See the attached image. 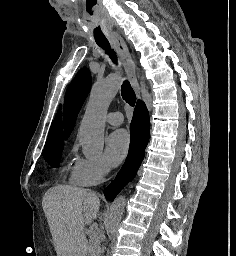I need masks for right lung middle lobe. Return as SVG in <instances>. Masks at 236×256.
<instances>
[{
  "label": "right lung middle lobe",
  "mask_w": 236,
  "mask_h": 256,
  "mask_svg": "<svg viewBox=\"0 0 236 256\" xmlns=\"http://www.w3.org/2000/svg\"><path fill=\"white\" fill-rule=\"evenodd\" d=\"M63 147H64V140L55 141V142H46L44 151H43V156L46 162L50 166L56 167L59 164Z\"/></svg>",
  "instance_id": "obj_1"
}]
</instances>
